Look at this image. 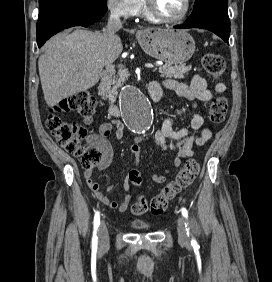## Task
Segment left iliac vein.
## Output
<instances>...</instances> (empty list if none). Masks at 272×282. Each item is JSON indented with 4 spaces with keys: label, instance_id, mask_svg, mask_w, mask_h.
I'll use <instances>...</instances> for the list:
<instances>
[{
    "label": "left iliac vein",
    "instance_id": "obj_1",
    "mask_svg": "<svg viewBox=\"0 0 272 282\" xmlns=\"http://www.w3.org/2000/svg\"><path fill=\"white\" fill-rule=\"evenodd\" d=\"M177 232H178L179 242L185 245H189V236L187 233V229L185 227V221L182 217L178 218Z\"/></svg>",
    "mask_w": 272,
    "mask_h": 282
}]
</instances>
